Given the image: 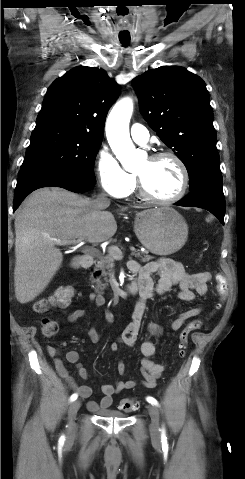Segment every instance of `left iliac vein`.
Here are the masks:
<instances>
[{"label":"left iliac vein","instance_id":"obj_1","mask_svg":"<svg viewBox=\"0 0 245 479\" xmlns=\"http://www.w3.org/2000/svg\"><path fill=\"white\" fill-rule=\"evenodd\" d=\"M147 409H148V413H149L150 418H151L150 432L153 436L157 437L158 434H159V430H160L159 410L154 405H148Z\"/></svg>","mask_w":245,"mask_h":479}]
</instances>
